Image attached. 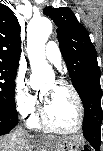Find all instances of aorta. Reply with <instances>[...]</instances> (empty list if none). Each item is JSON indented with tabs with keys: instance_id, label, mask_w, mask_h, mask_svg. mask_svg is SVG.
<instances>
[{
	"instance_id": "762f6f07",
	"label": "aorta",
	"mask_w": 103,
	"mask_h": 151,
	"mask_svg": "<svg viewBox=\"0 0 103 151\" xmlns=\"http://www.w3.org/2000/svg\"><path fill=\"white\" fill-rule=\"evenodd\" d=\"M52 33V23L41 17L33 19L27 26V53L34 75L50 70L45 57V44Z\"/></svg>"
}]
</instances>
